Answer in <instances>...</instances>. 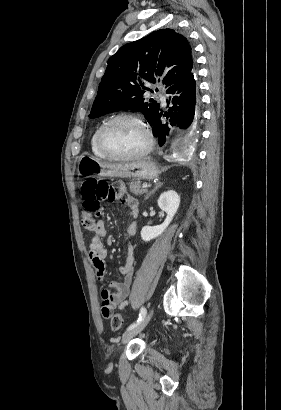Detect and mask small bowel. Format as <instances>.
<instances>
[{"label":"small bowel","mask_w":281,"mask_h":410,"mask_svg":"<svg viewBox=\"0 0 281 410\" xmlns=\"http://www.w3.org/2000/svg\"><path fill=\"white\" fill-rule=\"evenodd\" d=\"M119 200L129 208L130 214L133 217L138 216L139 206L135 198L122 193L119 196ZM136 231L137 224L133 221L128 225L125 233L126 239L128 240L126 263L118 269L119 273L123 276V281L112 283L113 291L105 289L101 292V314L104 318H108L113 310L123 309L127 305V297L131 289L135 263L134 248L130 239L135 235ZM106 234L107 228L105 221L98 220L94 227V236L89 245V259L100 280L106 276L105 258L108 251L103 242V237Z\"/></svg>","instance_id":"small-bowel-1"}]
</instances>
